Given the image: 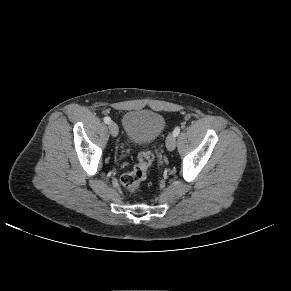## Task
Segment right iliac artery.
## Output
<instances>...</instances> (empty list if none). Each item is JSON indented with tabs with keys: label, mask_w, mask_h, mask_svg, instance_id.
Masks as SVG:
<instances>
[{
	"label": "right iliac artery",
	"mask_w": 291,
	"mask_h": 291,
	"mask_svg": "<svg viewBox=\"0 0 291 291\" xmlns=\"http://www.w3.org/2000/svg\"><path fill=\"white\" fill-rule=\"evenodd\" d=\"M104 122L106 123V124H109L110 122H111V119H110V117H105L104 118Z\"/></svg>",
	"instance_id": "82829eb1"
}]
</instances>
